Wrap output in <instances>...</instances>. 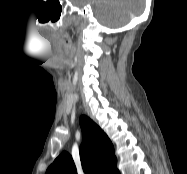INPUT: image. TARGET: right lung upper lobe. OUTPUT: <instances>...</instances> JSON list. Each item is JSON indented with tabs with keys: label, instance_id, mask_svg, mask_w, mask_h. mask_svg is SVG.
Masks as SVG:
<instances>
[{
	"label": "right lung upper lobe",
	"instance_id": "1",
	"mask_svg": "<svg viewBox=\"0 0 187 174\" xmlns=\"http://www.w3.org/2000/svg\"><path fill=\"white\" fill-rule=\"evenodd\" d=\"M83 141L79 148L82 168L86 174H120L114 148L107 135L92 121L82 127ZM46 174H77L72 157L63 152Z\"/></svg>",
	"mask_w": 187,
	"mask_h": 174
}]
</instances>
